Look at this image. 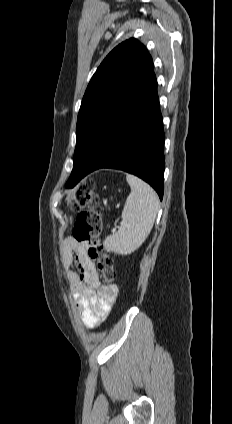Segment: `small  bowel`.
<instances>
[{"label": "small bowel", "mask_w": 232, "mask_h": 424, "mask_svg": "<svg viewBox=\"0 0 232 424\" xmlns=\"http://www.w3.org/2000/svg\"><path fill=\"white\" fill-rule=\"evenodd\" d=\"M87 249V244L67 237L62 243L60 256L76 310L84 325L93 329L110 313L116 298V288L102 287ZM73 266L76 271L72 269Z\"/></svg>", "instance_id": "1"}]
</instances>
